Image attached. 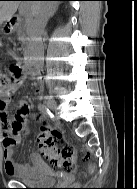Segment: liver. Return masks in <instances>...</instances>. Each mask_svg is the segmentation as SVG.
<instances>
[{
    "label": "liver",
    "instance_id": "obj_1",
    "mask_svg": "<svg viewBox=\"0 0 137 189\" xmlns=\"http://www.w3.org/2000/svg\"><path fill=\"white\" fill-rule=\"evenodd\" d=\"M19 3V1H0V25H2L4 21L12 18L17 11ZM46 4L47 3L41 1L30 2L32 13L36 15V13Z\"/></svg>",
    "mask_w": 137,
    "mask_h": 189
}]
</instances>
